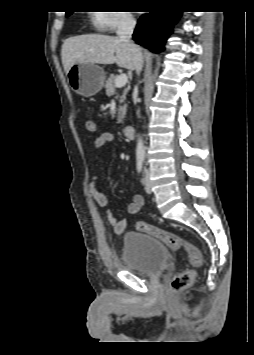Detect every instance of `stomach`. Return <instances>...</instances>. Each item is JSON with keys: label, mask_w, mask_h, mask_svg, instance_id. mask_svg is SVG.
Here are the masks:
<instances>
[{"label": "stomach", "mask_w": 254, "mask_h": 355, "mask_svg": "<svg viewBox=\"0 0 254 355\" xmlns=\"http://www.w3.org/2000/svg\"><path fill=\"white\" fill-rule=\"evenodd\" d=\"M71 89L84 97L98 93L105 81V72L102 67L94 63H76L67 73Z\"/></svg>", "instance_id": "obj_1"}]
</instances>
